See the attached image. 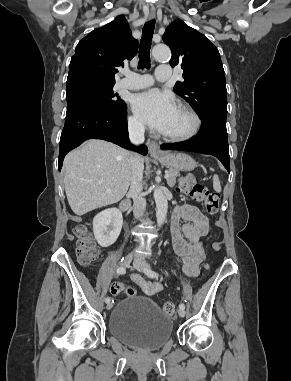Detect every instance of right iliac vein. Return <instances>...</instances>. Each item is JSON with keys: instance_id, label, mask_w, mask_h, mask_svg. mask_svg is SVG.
I'll return each instance as SVG.
<instances>
[{"instance_id": "63e3f726", "label": "right iliac vein", "mask_w": 291, "mask_h": 381, "mask_svg": "<svg viewBox=\"0 0 291 381\" xmlns=\"http://www.w3.org/2000/svg\"><path fill=\"white\" fill-rule=\"evenodd\" d=\"M133 260L132 255H127L121 262L122 267H128ZM113 307V303L110 301L107 303L106 308L110 310Z\"/></svg>"}]
</instances>
